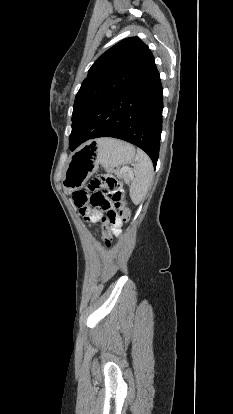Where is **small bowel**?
<instances>
[{"label": "small bowel", "mask_w": 233, "mask_h": 414, "mask_svg": "<svg viewBox=\"0 0 233 414\" xmlns=\"http://www.w3.org/2000/svg\"><path fill=\"white\" fill-rule=\"evenodd\" d=\"M79 211L81 215L93 223L102 222V212L99 208L85 206L84 208H79ZM109 225H111V229L115 234H120L122 226V221L120 219L116 218Z\"/></svg>", "instance_id": "obj_1"}]
</instances>
